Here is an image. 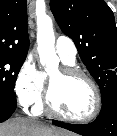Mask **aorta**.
Returning <instances> with one entry per match:
<instances>
[{
	"mask_svg": "<svg viewBox=\"0 0 117 136\" xmlns=\"http://www.w3.org/2000/svg\"><path fill=\"white\" fill-rule=\"evenodd\" d=\"M37 44L42 66L47 70L56 69L58 59L54 47L53 23L52 19L47 15L38 17L37 19Z\"/></svg>",
	"mask_w": 117,
	"mask_h": 136,
	"instance_id": "762f6f07",
	"label": "aorta"
}]
</instances>
